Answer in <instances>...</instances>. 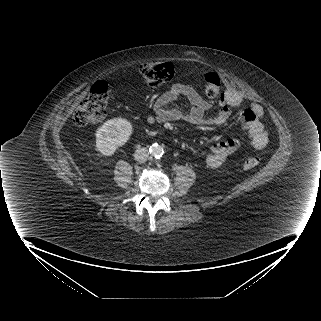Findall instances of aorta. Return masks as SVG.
I'll list each match as a JSON object with an SVG mask.
<instances>
[{
	"instance_id": "762f6f07",
	"label": "aorta",
	"mask_w": 321,
	"mask_h": 321,
	"mask_svg": "<svg viewBox=\"0 0 321 321\" xmlns=\"http://www.w3.org/2000/svg\"><path fill=\"white\" fill-rule=\"evenodd\" d=\"M149 152L152 156L160 158L164 154V149L158 144H152L149 148Z\"/></svg>"
}]
</instances>
